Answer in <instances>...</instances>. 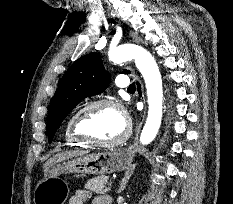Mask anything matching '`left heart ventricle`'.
Masks as SVG:
<instances>
[{"label": "left heart ventricle", "instance_id": "obj_1", "mask_svg": "<svg viewBox=\"0 0 233 204\" xmlns=\"http://www.w3.org/2000/svg\"><path fill=\"white\" fill-rule=\"evenodd\" d=\"M125 130L122 115L112 107H96L88 111L80 120L79 131L96 141H111Z\"/></svg>", "mask_w": 233, "mask_h": 204}]
</instances>
